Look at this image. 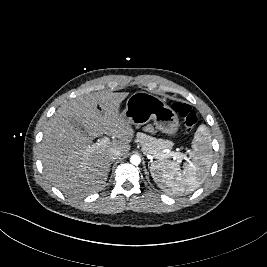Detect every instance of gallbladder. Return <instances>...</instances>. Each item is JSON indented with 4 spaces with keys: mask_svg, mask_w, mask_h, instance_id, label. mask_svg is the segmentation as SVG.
<instances>
[{
    "mask_svg": "<svg viewBox=\"0 0 267 267\" xmlns=\"http://www.w3.org/2000/svg\"><path fill=\"white\" fill-rule=\"evenodd\" d=\"M74 126H75V128H77V129L83 131V127H82L80 124H78V123H74Z\"/></svg>",
    "mask_w": 267,
    "mask_h": 267,
    "instance_id": "bac80fb5",
    "label": "gallbladder"
}]
</instances>
